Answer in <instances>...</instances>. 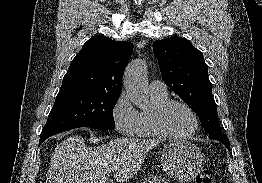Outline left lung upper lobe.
Listing matches in <instances>:
<instances>
[{
	"label": "left lung upper lobe",
	"mask_w": 262,
	"mask_h": 183,
	"mask_svg": "<svg viewBox=\"0 0 262 183\" xmlns=\"http://www.w3.org/2000/svg\"><path fill=\"white\" fill-rule=\"evenodd\" d=\"M153 52L163 81L198 115L205 134L215 140L226 139L220 128L202 53L182 37L156 40Z\"/></svg>",
	"instance_id": "left-lung-upper-lobe-1"
}]
</instances>
